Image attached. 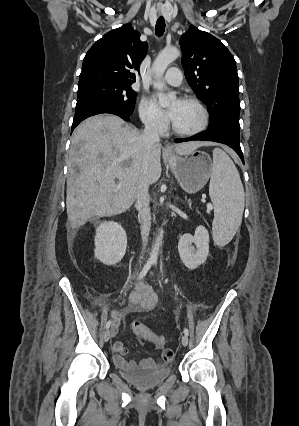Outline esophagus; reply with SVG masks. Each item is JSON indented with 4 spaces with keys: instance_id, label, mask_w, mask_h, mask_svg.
<instances>
[{
    "instance_id": "obj_1",
    "label": "esophagus",
    "mask_w": 299,
    "mask_h": 426,
    "mask_svg": "<svg viewBox=\"0 0 299 426\" xmlns=\"http://www.w3.org/2000/svg\"><path fill=\"white\" fill-rule=\"evenodd\" d=\"M161 13H162V11H161ZM165 153H166V154H171V148H170L169 146H167V147L165 148Z\"/></svg>"
}]
</instances>
